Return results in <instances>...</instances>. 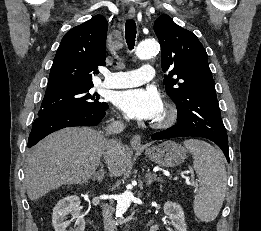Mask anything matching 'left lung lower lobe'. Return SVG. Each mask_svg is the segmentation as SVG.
Returning <instances> with one entry per match:
<instances>
[{
    "label": "left lung lower lobe",
    "mask_w": 261,
    "mask_h": 231,
    "mask_svg": "<svg viewBox=\"0 0 261 231\" xmlns=\"http://www.w3.org/2000/svg\"><path fill=\"white\" fill-rule=\"evenodd\" d=\"M175 137H203L209 139L215 142L223 150L227 161H229L228 139H215L209 137L187 123L178 122L173 127L152 135L153 140L168 139Z\"/></svg>",
    "instance_id": "obj_1"
}]
</instances>
